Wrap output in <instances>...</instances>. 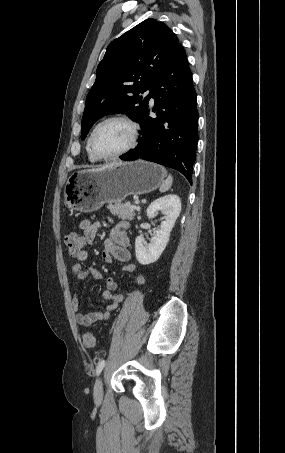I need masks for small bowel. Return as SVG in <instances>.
I'll use <instances>...</instances> for the list:
<instances>
[{
	"mask_svg": "<svg viewBox=\"0 0 285 453\" xmlns=\"http://www.w3.org/2000/svg\"><path fill=\"white\" fill-rule=\"evenodd\" d=\"M79 229L83 232L85 242L92 245L96 239L98 230L102 227L99 222H92L89 219L80 221L78 225ZM129 228V222L122 220L116 223L110 230L109 237L104 242L103 260L111 264L114 260H118L123 263L122 270L126 273H136L137 267L131 260V254L128 250L129 238L127 235V229ZM88 257L86 251H82L76 258L79 261H85ZM72 274L79 281L91 276L94 279H100L101 273L95 267H84L80 263H75L71 267ZM145 282V278L136 273L135 278L130 282V287L141 286ZM117 283L112 278L106 279V290L103 293V297L107 300L104 311L102 312H90L82 313L79 311V300L76 294L72 299V309L75 313V321L79 326L89 327L96 322L106 320L110 317L111 312L117 308V306L124 300L125 296L120 293H116Z\"/></svg>",
	"mask_w": 285,
	"mask_h": 453,
	"instance_id": "small-bowel-1",
	"label": "small bowel"
}]
</instances>
